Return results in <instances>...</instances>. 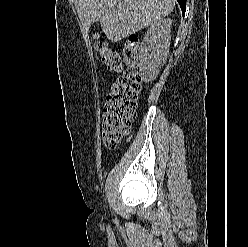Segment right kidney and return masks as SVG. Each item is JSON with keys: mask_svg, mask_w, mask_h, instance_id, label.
<instances>
[{"mask_svg": "<svg viewBox=\"0 0 248 247\" xmlns=\"http://www.w3.org/2000/svg\"><path fill=\"white\" fill-rule=\"evenodd\" d=\"M171 27V19L158 20L150 26L140 44V69L145 82L153 81L166 62L171 41Z\"/></svg>", "mask_w": 248, "mask_h": 247, "instance_id": "ca27d5eb", "label": "right kidney"}]
</instances>
